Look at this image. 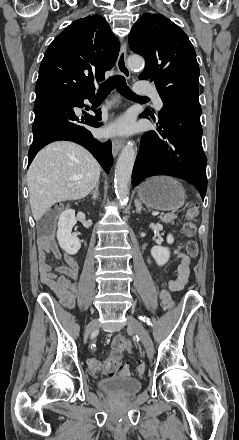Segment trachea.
<instances>
[{"label":"trachea","mask_w":239,"mask_h":440,"mask_svg":"<svg viewBox=\"0 0 239 440\" xmlns=\"http://www.w3.org/2000/svg\"><path fill=\"white\" fill-rule=\"evenodd\" d=\"M114 88L125 98L136 101H144V99H147V97H140L132 92L122 75H114L101 84L98 89L97 98L105 99Z\"/></svg>","instance_id":"obj_1"}]
</instances>
